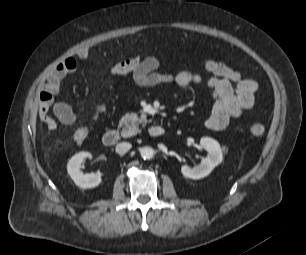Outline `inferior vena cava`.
Masks as SVG:
<instances>
[{
	"mask_svg": "<svg viewBox=\"0 0 306 255\" xmlns=\"http://www.w3.org/2000/svg\"><path fill=\"white\" fill-rule=\"evenodd\" d=\"M132 147V145L128 142H122L116 145V152L120 155L125 154L128 150H130V148Z\"/></svg>",
	"mask_w": 306,
	"mask_h": 255,
	"instance_id": "obj_1",
	"label": "inferior vena cava"
}]
</instances>
